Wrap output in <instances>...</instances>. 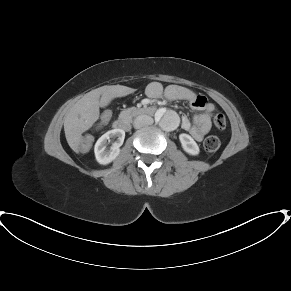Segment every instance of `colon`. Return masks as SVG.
<instances>
[{
  "label": "colon",
  "mask_w": 291,
  "mask_h": 291,
  "mask_svg": "<svg viewBox=\"0 0 291 291\" xmlns=\"http://www.w3.org/2000/svg\"><path fill=\"white\" fill-rule=\"evenodd\" d=\"M111 119V111L110 110H104L101 114V121L103 124H107ZM214 125L219 128L223 129L226 126V119L225 116L221 113H218L213 118ZM204 147L208 152H215L220 147V140L216 136H208L204 141ZM80 152L82 154H86L89 151L88 143L87 141H84L79 148Z\"/></svg>",
  "instance_id": "5ec220e1"
}]
</instances>
